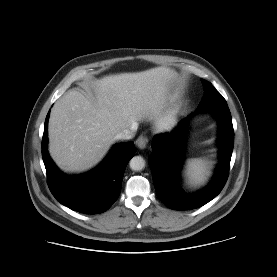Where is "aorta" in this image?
Segmentation results:
<instances>
[{"mask_svg": "<svg viewBox=\"0 0 277 277\" xmlns=\"http://www.w3.org/2000/svg\"><path fill=\"white\" fill-rule=\"evenodd\" d=\"M130 168L134 171H140L145 167V160L141 156H134L129 162Z\"/></svg>", "mask_w": 277, "mask_h": 277, "instance_id": "aorta-1", "label": "aorta"}]
</instances>
